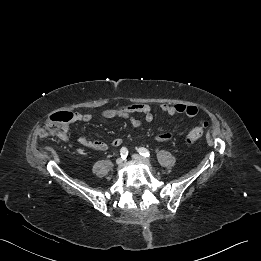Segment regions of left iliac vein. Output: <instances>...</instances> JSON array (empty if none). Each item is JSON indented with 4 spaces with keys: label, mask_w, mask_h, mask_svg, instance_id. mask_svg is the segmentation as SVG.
Instances as JSON below:
<instances>
[{
    "label": "left iliac vein",
    "mask_w": 261,
    "mask_h": 261,
    "mask_svg": "<svg viewBox=\"0 0 261 261\" xmlns=\"http://www.w3.org/2000/svg\"><path fill=\"white\" fill-rule=\"evenodd\" d=\"M132 158L135 159L136 161L143 162L146 164L150 163L149 159H147L146 157H143L141 155H138V154H133Z\"/></svg>",
    "instance_id": "obj_1"
}]
</instances>
